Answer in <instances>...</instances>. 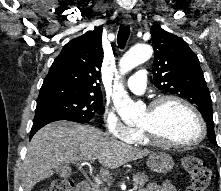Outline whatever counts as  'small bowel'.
<instances>
[{"label": "small bowel", "instance_id": "small-bowel-1", "mask_svg": "<svg viewBox=\"0 0 221 191\" xmlns=\"http://www.w3.org/2000/svg\"><path fill=\"white\" fill-rule=\"evenodd\" d=\"M141 191H177V189L170 182L167 181L161 185L156 183H151Z\"/></svg>", "mask_w": 221, "mask_h": 191}]
</instances>
